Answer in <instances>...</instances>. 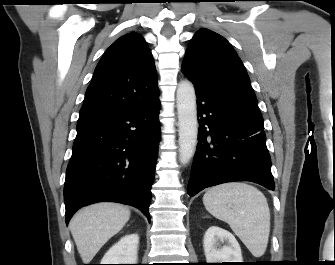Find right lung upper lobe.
<instances>
[{"label":"right lung upper lobe","mask_w":335,"mask_h":265,"mask_svg":"<svg viewBox=\"0 0 335 265\" xmlns=\"http://www.w3.org/2000/svg\"><path fill=\"white\" fill-rule=\"evenodd\" d=\"M158 97L152 54L144 38L131 32L117 39L99 61L78 122L136 109Z\"/></svg>","instance_id":"1"}]
</instances>
